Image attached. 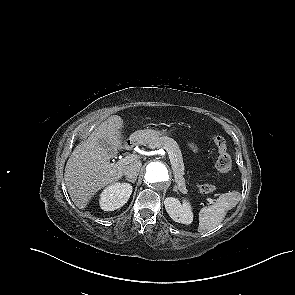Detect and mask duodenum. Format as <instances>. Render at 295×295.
<instances>
[{"mask_svg":"<svg viewBox=\"0 0 295 295\" xmlns=\"http://www.w3.org/2000/svg\"><path fill=\"white\" fill-rule=\"evenodd\" d=\"M134 144H135V140L130 139V140H128V141L126 142V144H125V148H126V149H131V148L134 146Z\"/></svg>","mask_w":295,"mask_h":295,"instance_id":"obj_1","label":"duodenum"}]
</instances>
